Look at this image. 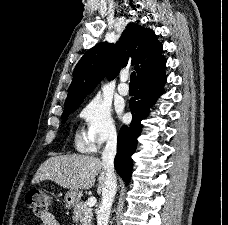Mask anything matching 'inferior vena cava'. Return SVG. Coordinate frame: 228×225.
Wrapping results in <instances>:
<instances>
[{
	"mask_svg": "<svg viewBox=\"0 0 228 225\" xmlns=\"http://www.w3.org/2000/svg\"><path fill=\"white\" fill-rule=\"evenodd\" d=\"M117 135L111 131L107 145L102 153V165L105 171L101 205L96 211L97 225H108L110 209L117 191V179L114 173Z\"/></svg>",
	"mask_w": 228,
	"mask_h": 225,
	"instance_id": "obj_1",
	"label": "inferior vena cava"
}]
</instances>
